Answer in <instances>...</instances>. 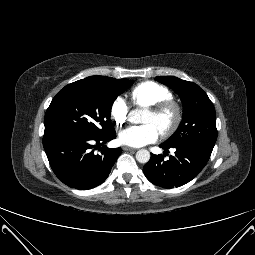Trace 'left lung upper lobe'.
<instances>
[{
	"label": "left lung upper lobe",
	"instance_id": "1",
	"mask_svg": "<svg viewBox=\"0 0 255 255\" xmlns=\"http://www.w3.org/2000/svg\"><path fill=\"white\" fill-rule=\"evenodd\" d=\"M156 79L178 93L183 103V120L164 144L169 147L201 146L213 150L217 139L216 114L207 94L195 83L174 76Z\"/></svg>",
	"mask_w": 255,
	"mask_h": 255
}]
</instances>
